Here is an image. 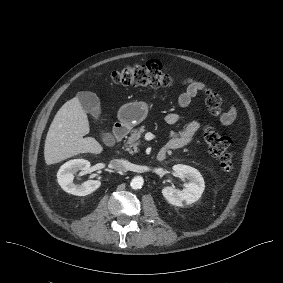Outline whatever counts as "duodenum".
I'll return each mask as SVG.
<instances>
[{"label":"duodenum","mask_w":283,"mask_h":283,"mask_svg":"<svg viewBox=\"0 0 283 283\" xmlns=\"http://www.w3.org/2000/svg\"><path fill=\"white\" fill-rule=\"evenodd\" d=\"M128 133V126L124 122L116 123L113 128V138L115 142L122 141ZM167 150L162 148L158 151L156 158L158 161H163L166 158Z\"/></svg>","instance_id":"410a0bca"}]
</instances>
